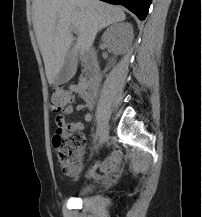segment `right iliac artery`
Listing matches in <instances>:
<instances>
[{
  "label": "right iliac artery",
  "instance_id": "right-iliac-artery-1",
  "mask_svg": "<svg viewBox=\"0 0 202 217\" xmlns=\"http://www.w3.org/2000/svg\"><path fill=\"white\" fill-rule=\"evenodd\" d=\"M100 133H101V129L100 127L97 128V131H96V134H95V137H94V140L96 141L98 139V137L100 136Z\"/></svg>",
  "mask_w": 202,
  "mask_h": 217
}]
</instances>
